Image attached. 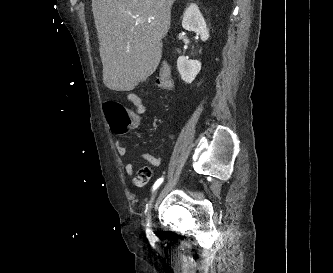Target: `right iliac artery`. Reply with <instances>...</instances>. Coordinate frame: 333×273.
Wrapping results in <instances>:
<instances>
[{"mask_svg":"<svg viewBox=\"0 0 333 273\" xmlns=\"http://www.w3.org/2000/svg\"><path fill=\"white\" fill-rule=\"evenodd\" d=\"M162 182H163V177L159 178V179L154 183L152 191H155V190L161 185ZM147 226H148V224H147ZM146 234H147V238H148L149 240H152V239H154V237H155V236H154V233H153L149 228L146 229Z\"/></svg>","mask_w":333,"mask_h":273,"instance_id":"82829eb1","label":"right iliac artery"}]
</instances>
